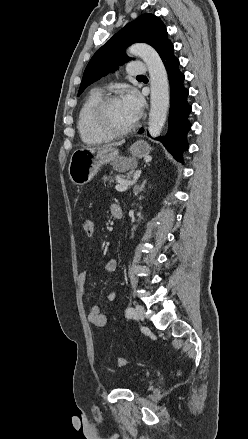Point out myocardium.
Masks as SVG:
<instances>
[{"label":"myocardium","instance_id":"myocardium-1","mask_svg":"<svg viewBox=\"0 0 248 439\" xmlns=\"http://www.w3.org/2000/svg\"><path fill=\"white\" fill-rule=\"evenodd\" d=\"M120 100L118 95H106L102 97L94 106L91 114L93 124L102 132L112 136L121 137L132 133L137 127V121L124 129H117L110 125L108 121V107L114 101Z\"/></svg>","mask_w":248,"mask_h":439}]
</instances>
